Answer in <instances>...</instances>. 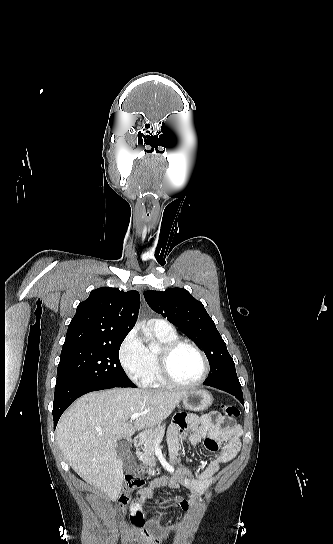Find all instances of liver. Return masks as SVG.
Masks as SVG:
<instances>
[{
    "label": "liver",
    "mask_w": 333,
    "mask_h": 544,
    "mask_svg": "<svg viewBox=\"0 0 333 544\" xmlns=\"http://www.w3.org/2000/svg\"><path fill=\"white\" fill-rule=\"evenodd\" d=\"M186 393L117 388L86 394L61 416L55 432L58 446L82 479L115 501L124 479L117 441L161 423ZM134 413L141 415L131 423Z\"/></svg>",
    "instance_id": "liver-1"
}]
</instances>
